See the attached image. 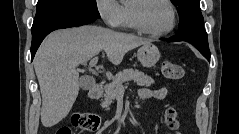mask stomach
Returning a JSON list of instances; mask_svg holds the SVG:
<instances>
[{"label":"stomach","instance_id":"obj_1","mask_svg":"<svg viewBox=\"0 0 239 134\" xmlns=\"http://www.w3.org/2000/svg\"><path fill=\"white\" fill-rule=\"evenodd\" d=\"M137 57L143 67L151 68L160 59V52L153 43L143 44L137 51Z\"/></svg>","mask_w":239,"mask_h":134}]
</instances>
